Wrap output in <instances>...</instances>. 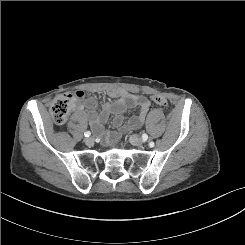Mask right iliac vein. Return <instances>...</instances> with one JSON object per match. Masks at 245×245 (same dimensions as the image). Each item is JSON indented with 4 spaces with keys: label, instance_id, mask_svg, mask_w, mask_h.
Instances as JSON below:
<instances>
[{
    "label": "right iliac vein",
    "instance_id": "1",
    "mask_svg": "<svg viewBox=\"0 0 245 245\" xmlns=\"http://www.w3.org/2000/svg\"><path fill=\"white\" fill-rule=\"evenodd\" d=\"M84 142L87 144V145H91L93 144L94 142V139L92 137H87L84 139Z\"/></svg>",
    "mask_w": 245,
    "mask_h": 245
}]
</instances>
